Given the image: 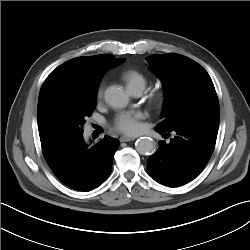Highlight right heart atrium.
<instances>
[{
    "label": "right heart atrium",
    "mask_w": 250,
    "mask_h": 250,
    "mask_svg": "<svg viewBox=\"0 0 250 250\" xmlns=\"http://www.w3.org/2000/svg\"><path fill=\"white\" fill-rule=\"evenodd\" d=\"M103 90H104V85L100 84L98 90H97V98L101 99L103 96Z\"/></svg>",
    "instance_id": "right-heart-atrium-1"
}]
</instances>
